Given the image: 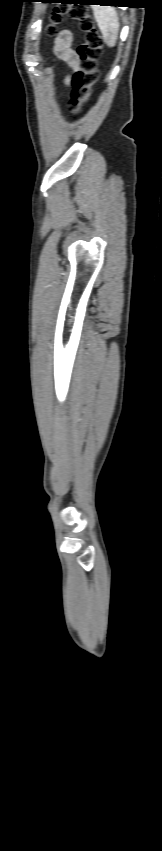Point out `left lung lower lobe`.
<instances>
[{
    "mask_svg": "<svg viewBox=\"0 0 162 851\" xmlns=\"http://www.w3.org/2000/svg\"><path fill=\"white\" fill-rule=\"evenodd\" d=\"M73 1H74V2H73ZM73 1H70V2H62V3H75V4H77V3H78V4H81V5H83V4H91V3H101V4L103 3V4H105V5H112V6H116L117 4H115V3H117V2H121V0H73ZM51 2L53 3L54 1H51Z\"/></svg>",
    "mask_w": 162,
    "mask_h": 851,
    "instance_id": "left-lung-lower-lobe-1",
    "label": "left lung lower lobe"
}]
</instances>
